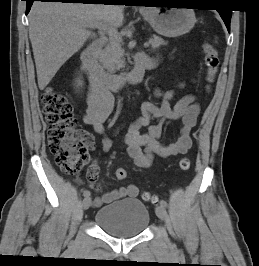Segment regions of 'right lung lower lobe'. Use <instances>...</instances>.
<instances>
[{"instance_id": "obj_1", "label": "right lung lower lobe", "mask_w": 259, "mask_h": 266, "mask_svg": "<svg viewBox=\"0 0 259 266\" xmlns=\"http://www.w3.org/2000/svg\"><path fill=\"white\" fill-rule=\"evenodd\" d=\"M27 2L26 7V15L30 11L31 5L34 1H42V2H62V3H84V4H107L110 1H123V0H24ZM126 5V4H125Z\"/></svg>"}]
</instances>
